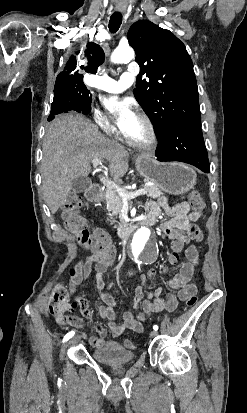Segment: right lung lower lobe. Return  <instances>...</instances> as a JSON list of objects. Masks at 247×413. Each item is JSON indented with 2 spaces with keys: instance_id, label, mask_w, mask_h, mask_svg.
<instances>
[{
  "instance_id": "98d812e1",
  "label": "right lung lower lobe",
  "mask_w": 247,
  "mask_h": 413,
  "mask_svg": "<svg viewBox=\"0 0 247 413\" xmlns=\"http://www.w3.org/2000/svg\"><path fill=\"white\" fill-rule=\"evenodd\" d=\"M68 111H76L87 115L91 111V101L87 102L72 96L54 98L48 121L53 120L55 115L63 112L67 113Z\"/></svg>"
}]
</instances>
